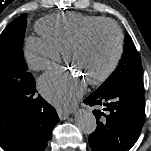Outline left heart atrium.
Wrapping results in <instances>:
<instances>
[{
	"instance_id": "39dd6f15",
	"label": "left heart atrium",
	"mask_w": 151,
	"mask_h": 151,
	"mask_svg": "<svg viewBox=\"0 0 151 151\" xmlns=\"http://www.w3.org/2000/svg\"><path fill=\"white\" fill-rule=\"evenodd\" d=\"M86 80L72 69L57 68L39 79L41 94L59 109L70 108L83 94Z\"/></svg>"
}]
</instances>
